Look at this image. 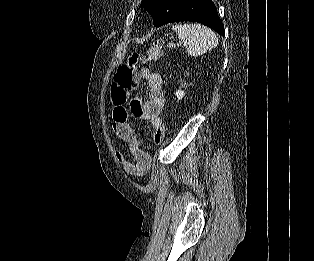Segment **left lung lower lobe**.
Returning a JSON list of instances; mask_svg holds the SVG:
<instances>
[{
    "label": "left lung lower lobe",
    "mask_w": 314,
    "mask_h": 261,
    "mask_svg": "<svg viewBox=\"0 0 314 261\" xmlns=\"http://www.w3.org/2000/svg\"><path fill=\"white\" fill-rule=\"evenodd\" d=\"M193 21L202 23L224 35V27L211 0H184L168 23Z\"/></svg>",
    "instance_id": "0a47b994"
}]
</instances>
